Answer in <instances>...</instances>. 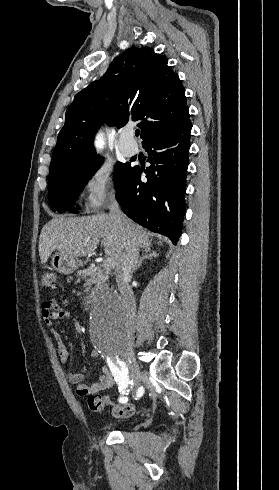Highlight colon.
Here are the masks:
<instances>
[{
  "label": "colon",
  "mask_w": 279,
  "mask_h": 490,
  "mask_svg": "<svg viewBox=\"0 0 279 490\" xmlns=\"http://www.w3.org/2000/svg\"><path fill=\"white\" fill-rule=\"evenodd\" d=\"M40 283L43 288L54 289L57 283L56 274L51 270H46L41 277ZM87 406L92 412H99L105 407H109L112 415L117 418L130 417L137 411L133 404H115L108 396L99 393L89 395Z\"/></svg>",
  "instance_id": "obj_1"
}]
</instances>
